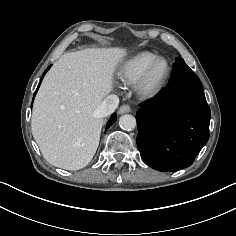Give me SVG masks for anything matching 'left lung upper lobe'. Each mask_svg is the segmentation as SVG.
<instances>
[{"label":"left lung upper lobe","mask_w":236,"mask_h":236,"mask_svg":"<svg viewBox=\"0 0 236 236\" xmlns=\"http://www.w3.org/2000/svg\"><path fill=\"white\" fill-rule=\"evenodd\" d=\"M180 60H183V59H181V58H176V61H180Z\"/></svg>","instance_id":"left-lung-upper-lobe-1"}]
</instances>
